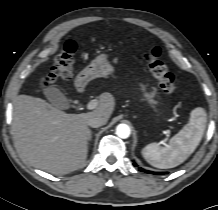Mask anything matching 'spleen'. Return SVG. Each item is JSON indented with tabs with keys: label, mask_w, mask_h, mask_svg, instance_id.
<instances>
[{
	"label": "spleen",
	"mask_w": 218,
	"mask_h": 210,
	"mask_svg": "<svg viewBox=\"0 0 218 210\" xmlns=\"http://www.w3.org/2000/svg\"><path fill=\"white\" fill-rule=\"evenodd\" d=\"M206 113L197 107L190 113L189 122L171 139L168 145H147L142 155L152 166L160 169L173 168L183 163L199 145L206 128Z\"/></svg>",
	"instance_id": "obj_1"
}]
</instances>
